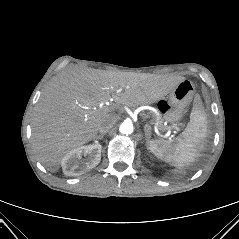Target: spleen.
<instances>
[{"mask_svg": "<svg viewBox=\"0 0 239 239\" xmlns=\"http://www.w3.org/2000/svg\"><path fill=\"white\" fill-rule=\"evenodd\" d=\"M207 135V118L199 98L194 100V106L185 130L174 143L166 140L148 142V149L159 159L175 166L184 167L192 163L202 149V143Z\"/></svg>", "mask_w": 239, "mask_h": 239, "instance_id": "obj_1", "label": "spleen"}]
</instances>
